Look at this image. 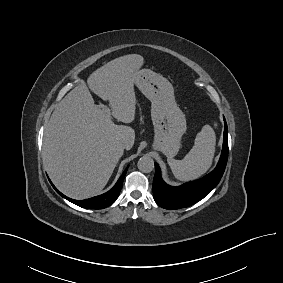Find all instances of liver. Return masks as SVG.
I'll use <instances>...</instances> for the list:
<instances>
[{
  "label": "liver",
  "instance_id": "obj_1",
  "mask_svg": "<svg viewBox=\"0 0 283 283\" xmlns=\"http://www.w3.org/2000/svg\"><path fill=\"white\" fill-rule=\"evenodd\" d=\"M144 58L129 54L94 71L70 91L53 111L45 127L43 159L58 189L73 199L99 194L109 181L127 143L131 149L135 131L116 125L94 102L89 88L109 100L112 116L125 124L135 118L134 83ZM89 87V88H88Z\"/></svg>",
  "mask_w": 283,
  "mask_h": 283
}]
</instances>
